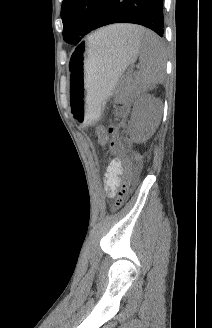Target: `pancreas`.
<instances>
[{
	"label": "pancreas",
	"mask_w": 212,
	"mask_h": 328,
	"mask_svg": "<svg viewBox=\"0 0 212 328\" xmlns=\"http://www.w3.org/2000/svg\"><path fill=\"white\" fill-rule=\"evenodd\" d=\"M126 84H127L128 90H131L133 88V86L131 85V81L130 80H127L126 81Z\"/></svg>",
	"instance_id": "obj_1"
}]
</instances>
